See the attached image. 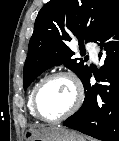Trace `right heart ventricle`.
<instances>
[{
  "instance_id": "right-heart-ventricle-1",
  "label": "right heart ventricle",
  "mask_w": 119,
  "mask_h": 141,
  "mask_svg": "<svg viewBox=\"0 0 119 141\" xmlns=\"http://www.w3.org/2000/svg\"><path fill=\"white\" fill-rule=\"evenodd\" d=\"M42 79H39L38 81H36L34 83V85L32 86L31 90H30V93L28 95V101H27V106H28V109L30 111V113L34 116V113H33V109H32V96H33V92L36 88V86L39 84V82L41 81Z\"/></svg>"
}]
</instances>
